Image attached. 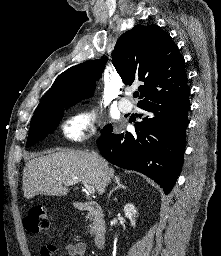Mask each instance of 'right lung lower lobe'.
<instances>
[{
  "mask_svg": "<svg viewBox=\"0 0 221 256\" xmlns=\"http://www.w3.org/2000/svg\"><path fill=\"white\" fill-rule=\"evenodd\" d=\"M190 92L160 96L138 107L146 111L136 134H114L112 127L97 139L101 155L121 168L145 174L168 194L181 171Z\"/></svg>",
  "mask_w": 221,
  "mask_h": 256,
  "instance_id": "obj_1",
  "label": "right lung lower lobe"
}]
</instances>
